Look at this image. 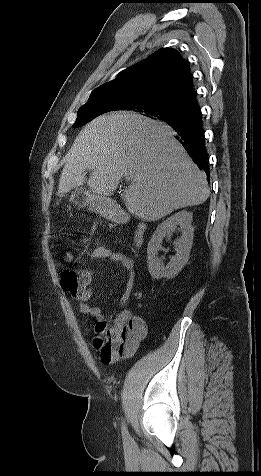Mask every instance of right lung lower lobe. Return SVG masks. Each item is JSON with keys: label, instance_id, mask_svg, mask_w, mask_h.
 <instances>
[{"label": "right lung lower lobe", "instance_id": "right-lung-lower-lobe-1", "mask_svg": "<svg viewBox=\"0 0 261 476\" xmlns=\"http://www.w3.org/2000/svg\"><path fill=\"white\" fill-rule=\"evenodd\" d=\"M166 123L175 130L180 143L193 161L209 176L208 154L199 105L185 110L178 119Z\"/></svg>", "mask_w": 261, "mask_h": 476}]
</instances>
